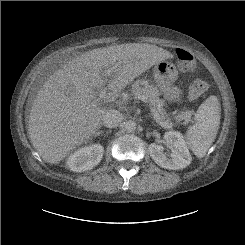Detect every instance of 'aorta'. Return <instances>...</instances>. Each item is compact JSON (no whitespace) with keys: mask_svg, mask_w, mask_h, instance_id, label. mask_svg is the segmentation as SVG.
<instances>
[{"mask_svg":"<svg viewBox=\"0 0 245 245\" xmlns=\"http://www.w3.org/2000/svg\"><path fill=\"white\" fill-rule=\"evenodd\" d=\"M137 128V124L135 121L129 120L124 123V129L127 132H134Z\"/></svg>","mask_w":245,"mask_h":245,"instance_id":"762f6f07","label":"aorta"}]
</instances>
